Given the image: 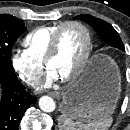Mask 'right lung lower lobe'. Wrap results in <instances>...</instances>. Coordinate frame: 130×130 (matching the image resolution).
Listing matches in <instances>:
<instances>
[{
    "mask_svg": "<svg viewBox=\"0 0 130 130\" xmlns=\"http://www.w3.org/2000/svg\"><path fill=\"white\" fill-rule=\"evenodd\" d=\"M0 84V130H18L25 110L35 103L37 98L25 90L14 71L3 66H0Z\"/></svg>",
    "mask_w": 130,
    "mask_h": 130,
    "instance_id": "98d812e1",
    "label": "right lung lower lobe"
}]
</instances>
